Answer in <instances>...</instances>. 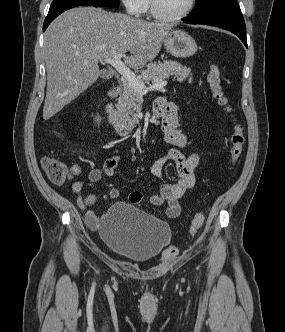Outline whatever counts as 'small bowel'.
<instances>
[{
    "label": "small bowel",
    "mask_w": 285,
    "mask_h": 332,
    "mask_svg": "<svg viewBox=\"0 0 285 332\" xmlns=\"http://www.w3.org/2000/svg\"><path fill=\"white\" fill-rule=\"evenodd\" d=\"M162 131L164 133L165 141L172 145L166 154L156 159L150 168L151 173L162 180V184L158 191L152 193L150 196V203L153 206L166 205V214L169 218H176L181 212L179 199L182 198L195 185V168L199 163V156L197 154L185 155L182 149L186 145V136L178 129V118L174 105L168 104L166 111L162 116ZM120 161L119 151L114 149L103 164L102 168L92 169L88 174V180L96 183L102 181L105 177H111L118 163ZM173 163L177 172L178 180L176 182H169L163 178V171L167 163ZM70 172L74 177H78L82 169L74 163L70 166ZM84 188V181L75 179L72 183L73 192L77 193V205L86 212V224L91 229H97L100 224L101 217L96 214L91 206L94 202V196L85 195L82 193ZM111 199L120 197V191L117 188H112L109 191ZM129 200L133 204H140L142 202V195L138 191H132L129 195Z\"/></svg>",
    "instance_id": "1"
}]
</instances>
